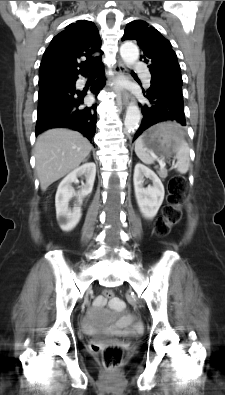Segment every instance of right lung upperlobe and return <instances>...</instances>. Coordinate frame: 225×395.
Wrapping results in <instances>:
<instances>
[{
  "mask_svg": "<svg viewBox=\"0 0 225 395\" xmlns=\"http://www.w3.org/2000/svg\"><path fill=\"white\" fill-rule=\"evenodd\" d=\"M101 39L95 24L78 20L57 34L45 50L39 67V88L50 87L87 75L95 68L101 57H92L95 52L102 53ZM86 58L82 61V58Z\"/></svg>",
  "mask_w": 225,
  "mask_h": 395,
  "instance_id": "cb5924a9",
  "label": "right lung upper lobe"
}]
</instances>
